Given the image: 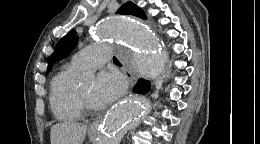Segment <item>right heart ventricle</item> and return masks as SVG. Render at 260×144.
Here are the masks:
<instances>
[{"label": "right heart ventricle", "instance_id": "e07e8e85", "mask_svg": "<svg viewBox=\"0 0 260 144\" xmlns=\"http://www.w3.org/2000/svg\"><path fill=\"white\" fill-rule=\"evenodd\" d=\"M82 69L72 62L61 67L50 87V105L55 117L61 121H76L82 116L78 102L77 76Z\"/></svg>", "mask_w": 260, "mask_h": 144}]
</instances>
